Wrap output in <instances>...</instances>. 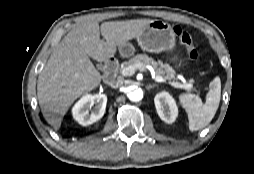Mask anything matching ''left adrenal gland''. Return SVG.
<instances>
[{
	"label": "left adrenal gland",
	"instance_id": "left-adrenal-gland-1",
	"mask_svg": "<svg viewBox=\"0 0 254 174\" xmlns=\"http://www.w3.org/2000/svg\"><path fill=\"white\" fill-rule=\"evenodd\" d=\"M156 86H157L156 84H153V85L149 84L148 86H146V89L150 90L151 88H154Z\"/></svg>",
	"mask_w": 254,
	"mask_h": 174
}]
</instances>
